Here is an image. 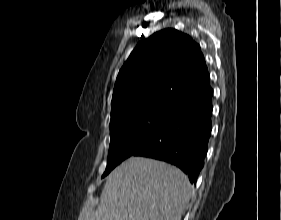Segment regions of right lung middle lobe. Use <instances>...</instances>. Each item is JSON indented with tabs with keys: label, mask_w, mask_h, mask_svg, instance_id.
<instances>
[{
	"label": "right lung middle lobe",
	"mask_w": 281,
	"mask_h": 220,
	"mask_svg": "<svg viewBox=\"0 0 281 220\" xmlns=\"http://www.w3.org/2000/svg\"><path fill=\"white\" fill-rule=\"evenodd\" d=\"M168 114L130 115L110 122V146L105 177L114 167L143 146L165 123Z\"/></svg>",
	"instance_id": "right-lung-middle-lobe-1"
}]
</instances>
